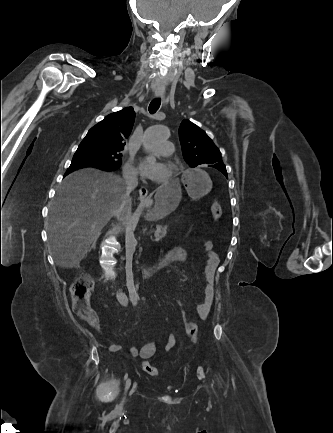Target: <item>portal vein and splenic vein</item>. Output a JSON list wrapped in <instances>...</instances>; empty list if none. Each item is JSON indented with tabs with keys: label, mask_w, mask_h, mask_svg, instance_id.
Returning a JSON list of instances; mask_svg holds the SVG:
<instances>
[{
	"label": "portal vein and splenic vein",
	"mask_w": 333,
	"mask_h": 433,
	"mask_svg": "<svg viewBox=\"0 0 333 433\" xmlns=\"http://www.w3.org/2000/svg\"><path fill=\"white\" fill-rule=\"evenodd\" d=\"M154 236H155L154 241L158 242L160 240V238L156 234Z\"/></svg>",
	"instance_id": "obj_1"
}]
</instances>
